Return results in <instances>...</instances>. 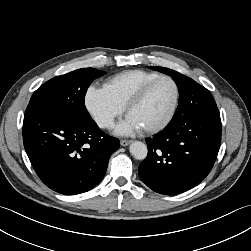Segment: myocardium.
Returning a JSON list of instances; mask_svg holds the SVG:
<instances>
[{
	"label": "myocardium",
	"instance_id": "myocardium-1",
	"mask_svg": "<svg viewBox=\"0 0 251 251\" xmlns=\"http://www.w3.org/2000/svg\"><path fill=\"white\" fill-rule=\"evenodd\" d=\"M161 80H168L172 83L173 88H174L173 104H172L170 112L168 113L166 118L158 125L151 127V128H148V129H145L144 132L146 134H156V133L164 130L173 120V118L177 112L179 100H180V88H179L177 81L170 75H165V74L159 75V76L155 77L154 79H151L150 81L146 82L144 85H142L138 89V91L130 98V100L128 101V103L125 106V111H126V114L128 115L130 110L133 107H135L136 105H138L144 99V97L146 96V94L148 93L150 88L154 84H156L157 82H159Z\"/></svg>",
	"mask_w": 251,
	"mask_h": 251
}]
</instances>
